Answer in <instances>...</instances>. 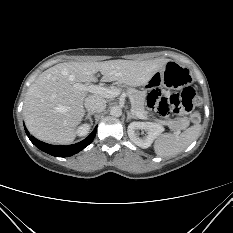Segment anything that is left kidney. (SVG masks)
<instances>
[{"label": "left kidney", "instance_id": "1", "mask_svg": "<svg viewBox=\"0 0 233 233\" xmlns=\"http://www.w3.org/2000/svg\"><path fill=\"white\" fill-rule=\"evenodd\" d=\"M139 130L147 132V136L140 138L138 134ZM163 131V126L154 122H132L127 129L130 140L141 148L150 147L154 139Z\"/></svg>", "mask_w": 233, "mask_h": 233}]
</instances>
